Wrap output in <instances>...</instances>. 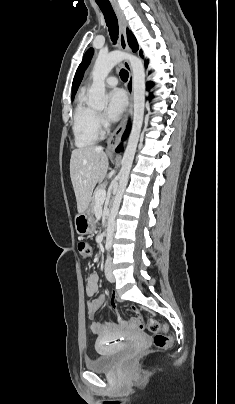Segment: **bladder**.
<instances>
[{
	"label": "bladder",
	"instance_id": "1",
	"mask_svg": "<svg viewBox=\"0 0 235 404\" xmlns=\"http://www.w3.org/2000/svg\"><path fill=\"white\" fill-rule=\"evenodd\" d=\"M97 350L100 352L99 355L95 359L85 362V367L95 373L110 371L123 353V349H118L104 354L101 353L105 351L102 346H97Z\"/></svg>",
	"mask_w": 235,
	"mask_h": 404
}]
</instances>
